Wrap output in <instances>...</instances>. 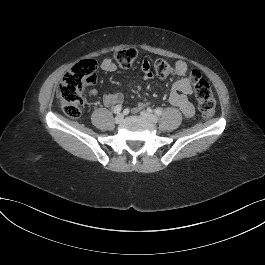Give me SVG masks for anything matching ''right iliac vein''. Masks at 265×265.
Returning <instances> with one entry per match:
<instances>
[{
	"label": "right iliac vein",
	"mask_w": 265,
	"mask_h": 265,
	"mask_svg": "<svg viewBox=\"0 0 265 265\" xmlns=\"http://www.w3.org/2000/svg\"><path fill=\"white\" fill-rule=\"evenodd\" d=\"M123 115L122 114H118L116 117H115V123L119 124L123 121Z\"/></svg>",
	"instance_id": "63e3f726"
}]
</instances>
